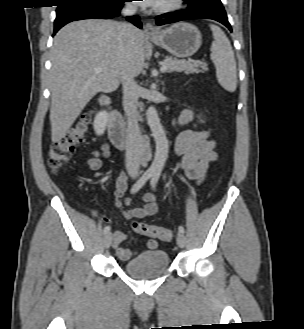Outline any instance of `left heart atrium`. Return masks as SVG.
<instances>
[{"label": "left heart atrium", "mask_w": 304, "mask_h": 329, "mask_svg": "<svg viewBox=\"0 0 304 329\" xmlns=\"http://www.w3.org/2000/svg\"><path fill=\"white\" fill-rule=\"evenodd\" d=\"M160 0H143L144 6L155 7L159 3Z\"/></svg>", "instance_id": "39dd6f15"}]
</instances>
